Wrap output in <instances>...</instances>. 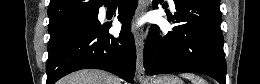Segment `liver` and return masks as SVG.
Listing matches in <instances>:
<instances>
[{
	"instance_id": "6515ba94",
	"label": "liver",
	"mask_w": 260,
	"mask_h": 84,
	"mask_svg": "<svg viewBox=\"0 0 260 84\" xmlns=\"http://www.w3.org/2000/svg\"><path fill=\"white\" fill-rule=\"evenodd\" d=\"M59 84H121L120 79L96 69H85L67 75Z\"/></svg>"
}]
</instances>
